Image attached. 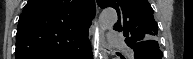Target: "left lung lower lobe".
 I'll return each mask as SVG.
<instances>
[{"label":"left lung lower lobe","mask_w":193,"mask_h":59,"mask_svg":"<svg viewBox=\"0 0 193 59\" xmlns=\"http://www.w3.org/2000/svg\"><path fill=\"white\" fill-rule=\"evenodd\" d=\"M135 59H161L163 54L159 50L158 44L146 45L140 42L132 47Z\"/></svg>","instance_id":"obj_1"}]
</instances>
